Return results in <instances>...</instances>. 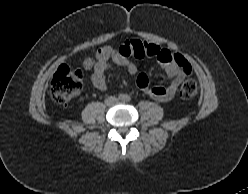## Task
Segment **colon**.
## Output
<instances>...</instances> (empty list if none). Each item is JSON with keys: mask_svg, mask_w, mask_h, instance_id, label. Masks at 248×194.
Listing matches in <instances>:
<instances>
[{"mask_svg": "<svg viewBox=\"0 0 248 194\" xmlns=\"http://www.w3.org/2000/svg\"><path fill=\"white\" fill-rule=\"evenodd\" d=\"M134 56L142 58L152 53L151 44L148 42H134ZM190 71V67L188 68ZM83 86L82 77L78 70L69 65H61L51 80V96L58 103L69 101ZM197 83L194 79H186L180 87V97L188 101L195 96Z\"/></svg>", "mask_w": 248, "mask_h": 194, "instance_id": "5ec220e1", "label": "colon"}]
</instances>
